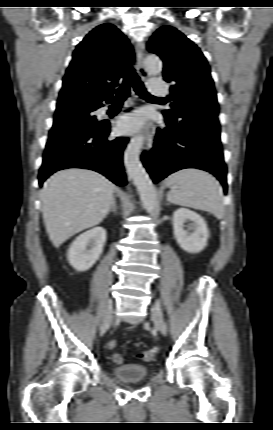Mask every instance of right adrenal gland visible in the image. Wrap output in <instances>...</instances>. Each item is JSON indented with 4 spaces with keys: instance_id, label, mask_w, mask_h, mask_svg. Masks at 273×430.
Here are the masks:
<instances>
[{
    "instance_id": "1",
    "label": "right adrenal gland",
    "mask_w": 273,
    "mask_h": 430,
    "mask_svg": "<svg viewBox=\"0 0 273 430\" xmlns=\"http://www.w3.org/2000/svg\"><path fill=\"white\" fill-rule=\"evenodd\" d=\"M110 212H114V213H116V212H117V205H116V200H115V198H114L113 203H112V205H111V207H110V209H109V211H108V213H107V214H109Z\"/></svg>"
}]
</instances>
